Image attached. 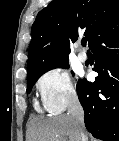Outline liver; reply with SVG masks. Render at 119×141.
I'll use <instances>...</instances> for the list:
<instances>
[{
  "mask_svg": "<svg viewBox=\"0 0 119 141\" xmlns=\"http://www.w3.org/2000/svg\"><path fill=\"white\" fill-rule=\"evenodd\" d=\"M67 137L69 141H80L70 115L35 118L31 121L28 141H66Z\"/></svg>",
  "mask_w": 119,
  "mask_h": 141,
  "instance_id": "liver-1",
  "label": "liver"
}]
</instances>
